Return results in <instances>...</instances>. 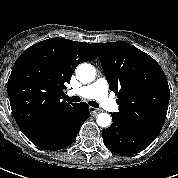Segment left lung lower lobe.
Instances as JSON below:
<instances>
[{
  "instance_id": "0a47b994",
  "label": "left lung lower lobe",
  "mask_w": 178,
  "mask_h": 178,
  "mask_svg": "<svg viewBox=\"0 0 178 178\" xmlns=\"http://www.w3.org/2000/svg\"><path fill=\"white\" fill-rule=\"evenodd\" d=\"M113 118L112 125L102 131L106 147L121 155L136 154L146 149L156 137L128 125L118 118Z\"/></svg>"
}]
</instances>
